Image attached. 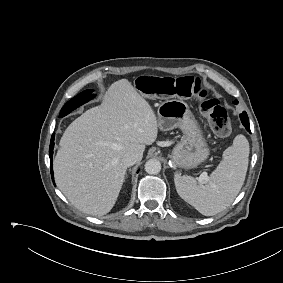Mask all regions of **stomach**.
<instances>
[{"instance_id":"stomach-1","label":"stomach","mask_w":283,"mask_h":283,"mask_svg":"<svg viewBox=\"0 0 283 283\" xmlns=\"http://www.w3.org/2000/svg\"><path fill=\"white\" fill-rule=\"evenodd\" d=\"M157 116L160 130L169 131L178 127L183 132V137L172 151V159L178 167L192 169L208 158V145L187 103L178 99L161 103Z\"/></svg>"}]
</instances>
